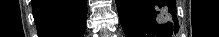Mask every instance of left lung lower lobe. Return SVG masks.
<instances>
[{
    "label": "left lung lower lobe",
    "instance_id": "0a47b994",
    "mask_svg": "<svg viewBox=\"0 0 219 37\" xmlns=\"http://www.w3.org/2000/svg\"><path fill=\"white\" fill-rule=\"evenodd\" d=\"M127 37H173L178 31L175 0H116Z\"/></svg>",
    "mask_w": 219,
    "mask_h": 37
}]
</instances>
